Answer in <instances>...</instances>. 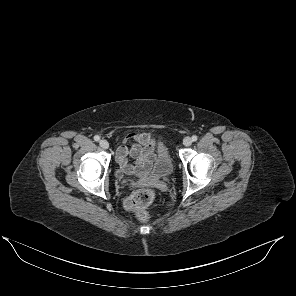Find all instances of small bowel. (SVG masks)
I'll return each instance as SVG.
<instances>
[{
	"instance_id": "obj_1",
	"label": "small bowel",
	"mask_w": 296,
	"mask_h": 296,
	"mask_svg": "<svg viewBox=\"0 0 296 296\" xmlns=\"http://www.w3.org/2000/svg\"><path fill=\"white\" fill-rule=\"evenodd\" d=\"M116 160L122 172L143 177L148 175L155 159V141L143 132L130 133L122 139Z\"/></svg>"
}]
</instances>
